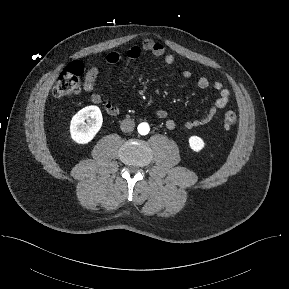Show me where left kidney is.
<instances>
[{
    "instance_id": "obj_1",
    "label": "left kidney",
    "mask_w": 289,
    "mask_h": 289,
    "mask_svg": "<svg viewBox=\"0 0 289 289\" xmlns=\"http://www.w3.org/2000/svg\"><path fill=\"white\" fill-rule=\"evenodd\" d=\"M189 145L193 151L199 152L204 148L205 143L202 138L198 136H191L189 138Z\"/></svg>"
}]
</instances>
